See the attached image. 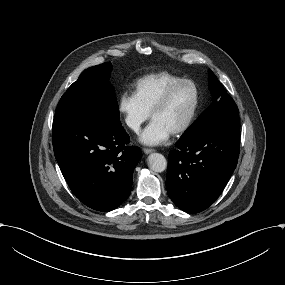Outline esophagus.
I'll return each mask as SVG.
<instances>
[{"mask_svg":"<svg viewBox=\"0 0 285 285\" xmlns=\"http://www.w3.org/2000/svg\"><path fill=\"white\" fill-rule=\"evenodd\" d=\"M143 151L145 154H150L152 152H154L155 150L154 149H150V148H143Z\"/></svg>","mask_w":285,"mask_h":285,"instance_id":"obj_1","label":"esophagus"}]
</instances>
